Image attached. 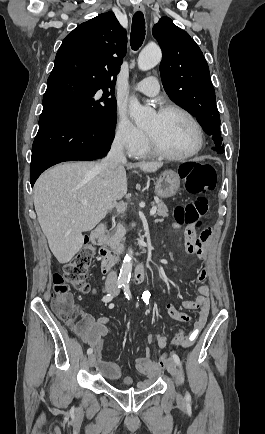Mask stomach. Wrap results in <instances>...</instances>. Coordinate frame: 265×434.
Returning a JSON list of instances; mask_svg holds the SVG:
<instances>
[{"label":"stomach","instance_id":"1","mask_svg":"<svg viewBox=\"0 0 265 434\" xmlns=\"http://www.w3.org/2000/svg\"><path fill=\"white\" fill-rule=\"evenodd\" d=\"M180 188V178L176 172L172 170H166L161 176H159L156 186L155 194L160 198H171L175 196Z\"/></svg>","mask_w":265,"mask_h":434}]
</instances>
